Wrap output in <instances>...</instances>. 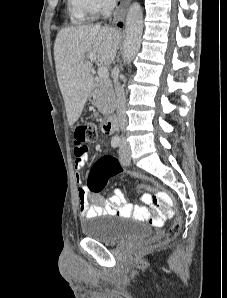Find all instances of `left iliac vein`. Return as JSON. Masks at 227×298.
I'll return each instance as SVG.
<instances>
[{"label": "left iliac vein", "instance_id": "4c4485c4", "mask_svg": "<svg viewBox=\"0 0 227 298\" xmlns=\"http://www.w3.org/2000/svg\"><path fill=\"white\" fill-rule=\"evenodd\" d=\"M130 153V147L126 143H123L120 147V161L125 166L130 164Z\"/></svg>", "mask_w": 227, "mask_h": 298}]
</instances>
